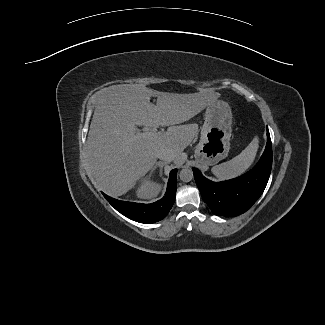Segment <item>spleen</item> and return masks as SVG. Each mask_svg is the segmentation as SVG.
<instances>
[{"instance_id":"obj_1","label":"spleen","mask_w":325,"mask_h":325,"mask_svg":"<svg viewBox=\"0 0 325 325\" xmlns=\"http://www.w3.org/2000/svg\"><path fill=\"white\" fill-rule=\"evenodd\" d=\"M259 147L258 137H254L249 145L230 161L212 168L214 175L221 180L230 179L243 174L254 162Z\"/></svg>"}]
</instances>
